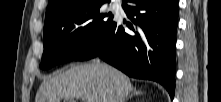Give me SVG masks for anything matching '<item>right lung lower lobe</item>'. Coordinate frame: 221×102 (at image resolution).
<instances>
[{
  "instance_id": "right-lung-lower-lobe-1",
  "label": "right lung lower lobe",
  "mask_w": 221,
  "mask_h": 102,
  "mask_svg": "<svg viewBox=\"0 0 221 102\" xmlns=\"http://www.w3.org/2000/svg\"><path fill=\"white\" fill-rule=\"evenodd\" d=\"M122 7L134 26L125 32L115 20L75 60L100 57L127 75L163 85L171 99L175 88L177 0H124Z\"/></svg>"
}]
</instances>
